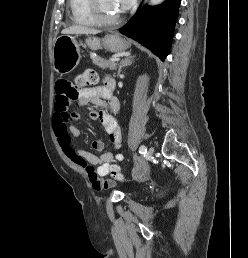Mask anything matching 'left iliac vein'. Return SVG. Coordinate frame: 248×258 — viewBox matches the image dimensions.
I'll list each match as a JSON object with an SVG mask.
<instances>
[{
	"label": "left iliac vein",
	"instance_id": "obj_1",
	"mask_svg": "<svg viewBox=\"0 0 248 258\" xmlns=\"http://www.w3.org/2000/svg\"><path fill=\"white\" fill-rule=\"evenodd\" d=\"M153 154H154V148H153V147H150V148L148 149L147 155H148V157H151Z\"/></svg>",
	"mask_w": 248,
	"mask_h": 258
}]
</instances>
